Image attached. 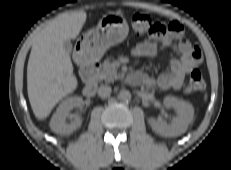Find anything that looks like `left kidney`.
Here are the masks:
<instances>
[{"mask_svg":"<svg viewBox=\"0 0 231 170\" xmlns=\"http://www.w3.org/2000/svg\"><path fill=\"white\" fill-rule=\"evenodd\" d=\"M163 103L166 107L174 108L177 115L172 118L170 124L158 119H148L152 130L166 137H174L183 134L194 119L193 106L186 101L171 96L165 97Z\"/></svg>","mask_w":231,"mask_h":170,"instance_id":"5707ae66","label":"left kidney"}]
</instances>
